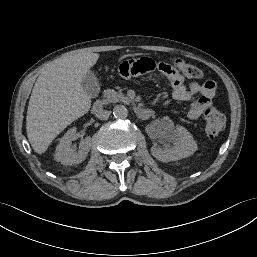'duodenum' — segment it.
I'll use <instances>...</instances> for the list:
<instances>
[{
	"label": "duodenum",
	"mask_w": 257,
	"mask_h": 257,
	"mask_svg": "<svg viewBox=\"0 0 257 257\" xmlns=\"http://www.w3.org/2000/svg\"><path fill=\"white\" fill-rule=\"evenodd\" d=\"M103 109H104V103L102 102V100L100 99L95 100V102L92 105L93 113L100 114L103 111ZM135 113L140 119H147L151 117L153 114L151 109L145 108V107H137L135 109Z\"/></svg>",
	"instance_id": "410a0bca"
}]
</instances>
